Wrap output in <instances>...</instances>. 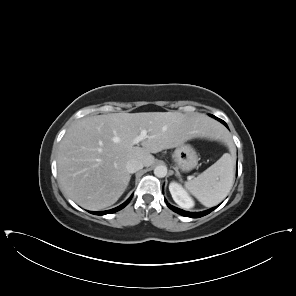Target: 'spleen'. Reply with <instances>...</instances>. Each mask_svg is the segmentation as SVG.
I'll return each instance as SVG.
<instances>
[{"label": "spleen", "instance_id": "3e777b00", "mask_svg": "<svg viewBox=\"0 0 296 296\" xmlns=\"http://www.w3.org/2000/svg\"><path fill=\"white\" fill-rule=\"evenodd\" d=\"M233 177L234 160L229 153H225L203 173L185 182V187L204 206L212 207L228 195Z\"/></svg>", "mask_w": 296, "mask_h": 296}]
</instances>
